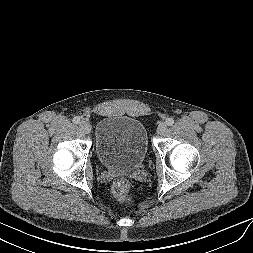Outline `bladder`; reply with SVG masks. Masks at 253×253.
Masks as SVG:
<instances>
[{
    "label": "bladder",
    "instance_id": "1",
    "mask_svg": "<svg viewBox=\"0 0 253 253\" xmlns=\"http://www.w3.org/2000/svg\"><path fill=\"white\" fill-rule=\"evenodd\" d=\"M148 149V132L138 119L109 115L96 124L95 152L107 169H136L144 162Z\"/></svg>",
    "mask_w": 253,
    "mask_h": 253
}]
</instances>
